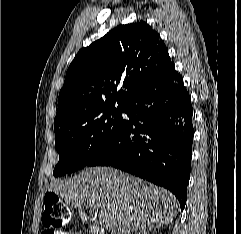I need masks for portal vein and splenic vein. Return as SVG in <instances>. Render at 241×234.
<instances>
[{"label":"portal vein and splenic vein","mask_w":241,"mask_h":234,"mask_svg":"<svg viewBox=\"0 0 241 234\" xmlns=\"http://www.w3.org/2000/svg\"><path fill=\"white\" fill-rule=\"evenodd\" d=\"M97 212H98V211H95V214H97ZM101 218H102V216L99 214V219H101Z\"/></svg>","instance_id":"portal-vein-and-splenic-vein-1"}]
</instances>
